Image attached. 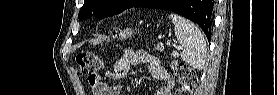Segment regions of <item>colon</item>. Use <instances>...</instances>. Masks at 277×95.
I'll return each mask as SVG.
<instances>
[{
	"instance_id": "5ec220e1",
	"label": "colon",
	"mask_w": 277,
	"mask_h": 95,
	"mask_svg": "<svg viewBox=\"0 0 277 95\" xmlns=\"http://www.w3.org/2000/svg\"><path fill=\"white\" fill-rule=\"evenodd\" d=\"M76 62L81 73L93 80L103 65L102 58L95 53H81L76 57ZM175 77L181 82V87L177 91L178 95L192 94L198 82V77L193 69L182 63L173 64Z\"/></svg>"
}]
</instances>
